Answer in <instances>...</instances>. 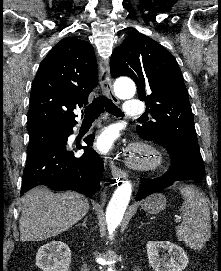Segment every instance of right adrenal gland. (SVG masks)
Instances as JSON below:
<instances>
[{"instance_id": "right-adrenal-gland-1", "label": "right adrenal gland", "mask_w": 221, "mask_h": 271, "mask_svg": "<svg viewBox=\"0 0 221 271\" xmlns=\"http://www.w3.org/2000/svg\"><path fill=\"white\" fill-rule=\"evenodd\" d=\"M87 219H88V217H87V215H86V217H85L83 223H78V225H84V227H87V225H86Z\"/></svg>"}]
</instances>
